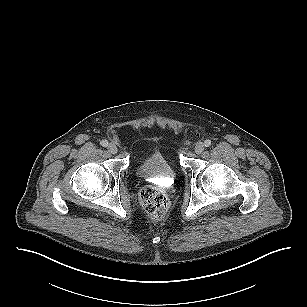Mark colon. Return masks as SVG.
<instances>
[{"label": "colon", "mask_w": 307, "mask_h": 307, "mask_svg": "<svg viewBox=\"0 0 307 307\" xmlns=\"http://www.w3.org/2000/svg\"><path fill=\"white\" fill-rule=\"evenodd\" d=\"M139 201L144 211L154 219L163 218L169 208L166 193L159 187H144L139 194Z\"/></svg>", "instance_id": "1"}]
</instances>
